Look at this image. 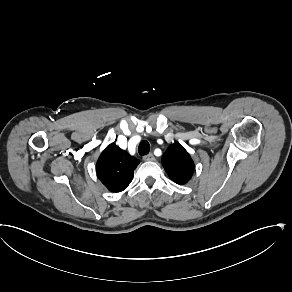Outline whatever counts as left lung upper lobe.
<instances>
[{
    "label": "left lung upper lobe",
    "mask_w": 292,
    "mask_h": 292,
    "mask_svg": "<svg viewBox=\"0 0 292 292\" xmlns=\"http://www.w3.org/2000/svg\"><path fill=\"white\" fill-rule=\"evenodd\" d=\"M162 164L170 179L180 185L186 184L194 172V162L180 144L168 147L162 156Z\"/></svg>",
    "instance_id": "1"
}]
</instances>
